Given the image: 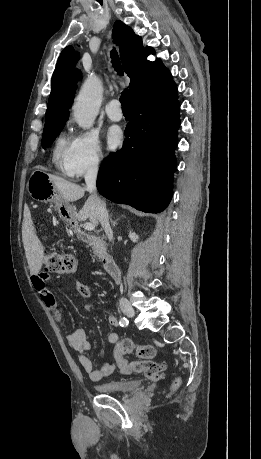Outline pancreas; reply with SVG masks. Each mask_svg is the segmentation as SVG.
Returning a JSON list of instances; mask_svg holds the SVG:
<instances>
[{
  "label": "pancreas",
  "mask_w": 261,
  "mask_h": 459,
  "mask_svg": "<svg viewBox=\"0 0 261 459\" xmlns=\"http://www.w3.org/2000/svg\"><path fill=\"white\" fill-rule=\"evenodd\" d=\"M89 240H90V245L92 246L94 255L99 259L103 258L106 253L105 252L106 247H105V243L103 242V239L100 237H96V236H90Z\"/></svg>",
  "instance_id": "cf45deb5"
}]
</instances>
